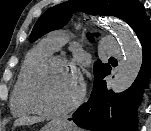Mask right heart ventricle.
<instances>
[{
  "instance_id": "1",
  "label": "right heart ventricle",
  "mask_w": 151,
  "mask_h": 131,
  "mask_svg": "<svg viewBox=\"0 0 151 131\" xmlns=\"http://www.w3.org/2000/svg\"><path fill=\"white\" fill-rule=\"evenodd\" d=\"M54 49L45 40L31 49L20 68L15 85L12 89L10 97V109L15 116L28 115L31 111L26 107L23 101V86L28 70L39 60L50 56L54 53Z\"/></svg>"
}]
</instances>
